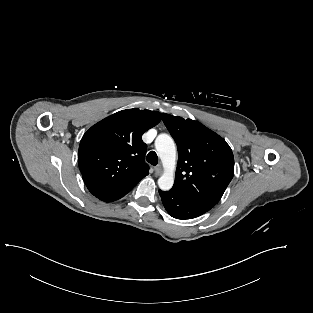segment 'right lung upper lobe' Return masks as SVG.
<instances>
[{"mask_svg":"<svg viewBox=\"0 0 313 313\" xmlns=\"http://www.w3.org/2000/svg\"><path fill=\"white\" fill-rule=\"evenodd\" d=\"M161 117L156 111L122 110L101 120L83 135L78 164L91 194L124 187L148 175L147 145L142 135L157 125Z\"/></svg>","mask_w":313,"mask_h":313,"instance_id":"right-lung-upper-lobe-1","label":"right lung upper lobe"}]
</instances>
